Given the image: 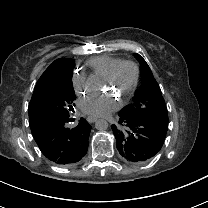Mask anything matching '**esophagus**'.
I'll list each match as a JSON object with an SVG mask.
<instances>
[{"label":"esophagus","instance_id":"esophagus-1","mask_svg":"<svg viewBox=\"0 0 208 208\" xmlns=\"http://www.w3.org/2000/svg\"><path fill=\"white\" fill-rule=\"evenodd\" d=\"M96 120H97V117H94V116H88L87 117V121L89 123H94Z\"/></svg>","mask_w":208,"mask_h":208}]
</instances>
